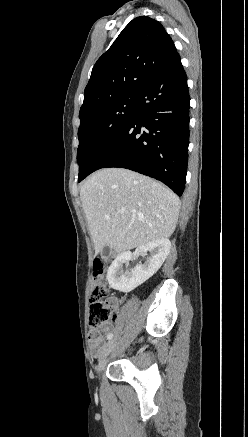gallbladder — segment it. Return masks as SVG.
<instances>
[{
	"instance_id": "bac80fb5",
	"label": "gallbladder",
	"mask_w": 248,
	"mask_h": 437,
	"mask_svg": "<svg viewBox=\"0 0 248 437\" xmlns=\"http://www.w3.org/2000/svg\"><path fill=\"white\" fill-rule=\"evenodd\" d=\"M110 254H111V249L108 246H105L103 248V250L101 251V257L102 258H107V257L110 256Z\"/></svg>"
}]
</instances>
